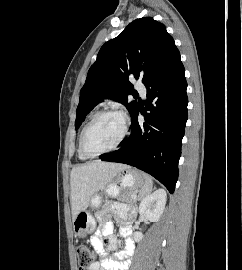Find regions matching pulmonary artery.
Segmentation results:
<instances>
[{
    "instance_id": "1",
    "label": "pulmonary artery",
    "mask_w": 242,
    "mask_h": 270,
    "mask_svg": "<svg viewBox=\"0 0 242 270\" xmlns=\"http://www.w3.org/2000/svg\"><path fill=\"white\" fill-rule=\"evenodd\" d=\"M135 87L142 96L146 95V87L142 82L136 83Z\"/></svg>"
}]
</instances>
